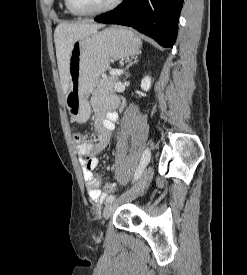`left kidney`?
I'll return each mask as SVG.
<instances>
[{"label":"left kidney","instance_id":"5707ae66","mask_svg":"<svg viewBox=\"0 0 247 275\" xmlns=\"http://www.w3.org/2000/svg\"><path fill=\"white\" fill-rule=\"evenodd\" d=\"M151 83H152L151 77L146 76L142 79L141 88L144 91H149V89L151 88Z\"/></svg>","mask_w":247,"mask_h":275}]
</instances>
